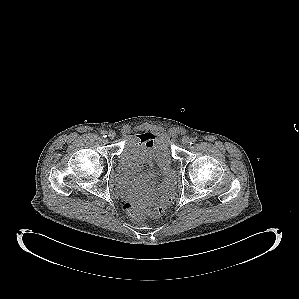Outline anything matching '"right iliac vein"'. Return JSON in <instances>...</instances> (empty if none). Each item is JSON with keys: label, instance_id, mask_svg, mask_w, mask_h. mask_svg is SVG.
<instances>
[{"label": "right iliac vein", "instance_id": "obj_1", "mask_svg": "<svg viewBox=\"0 0 299 299\" xmlns=\"http://www.w3.org/2000/svg\"><path fill=\"white\" fill-rule=\"evenodd\" d=\"M115 136H116V134H115L114 131H110V132L108 133V137H109L110 139H114Z\"/></svg>", "mask_w": 299, "mask_h": 299}]
</instances>
